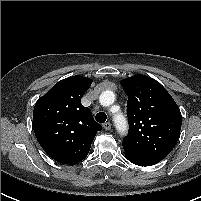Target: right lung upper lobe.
Wrapping results in <instances>:
<instances>
[{"mask_svg":"<svg viewBox=\"0 0 201 201\" xmlns=\"http://www.w3.org/2000/svg\"><path fill=\"white\" fill-rule=\"evenodd\" d=\"M92 80L72 76L59 81L38 99L33 112V129L43 150L63 164L83 160L102 126L81 98Z\"/></svg>","mask_w":201,"mask_h":201,"instance_id":"obj_1","label":"right lung upper lobe"}]
</instances>
